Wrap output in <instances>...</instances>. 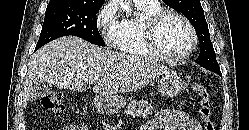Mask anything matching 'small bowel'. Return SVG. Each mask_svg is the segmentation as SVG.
Masks as SVG:
<instances>
[{"mask_svg": "<svg viewBox=\"0 0 249 130\" xmlns=\"http://www.w3.org/2000/svg\"><path fill=\"white\" fill-rule=\"evenodd\" d=\"M59 130H90L83 124H69ZM140 130H202L198 121L185 111L169 110L159 112L152 122Z\"/></svg>", "mask_w": 249, "mask_h": 130, "instance_id": "obj_1", "label": "small bowel"}]
</instances>
